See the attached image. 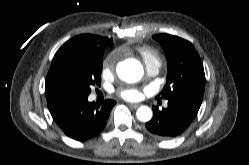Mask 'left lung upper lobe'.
Listing matches in <instances>:
<instances>
[{"instance_id":"5c2ea615","label":"left lung upper lobe","mask_w":249,"mask_h":165,"mask_svg":"<svg viewBox=\"0 0 249 165\" xmlns=\"http://www.w3.org/2000/svg\"><path fill=\"white\" fill-rule=\"evenodd\" d=\"M153 38L162 45L168 63L166 84L156 98L158 100L183 98L201 104L205 89V74L194 46L182 38L169 34H158Z\"/></svg>"}]
</instances>
